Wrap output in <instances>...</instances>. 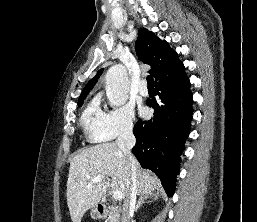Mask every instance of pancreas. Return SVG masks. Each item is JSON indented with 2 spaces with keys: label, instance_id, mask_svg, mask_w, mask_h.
I'll return each instance as SVG.
<instances>
[{
  "label": "pancreas",
  "instance_id": "1",
  "mask_svg": "<svg viewBox=\"0 0 257 222\" xmlns=\"http://www.w3.org/2000/svg\"><path fill=\"white\" fill-rule=\"evenodd\" d=\"M105 222H119V217L114 207L110 208L108 219Z\"/></svg>",
  "mask_w": 257,
  "mask_h": 222
}]
</instances>
